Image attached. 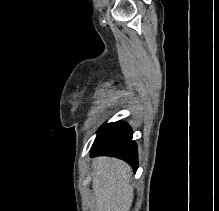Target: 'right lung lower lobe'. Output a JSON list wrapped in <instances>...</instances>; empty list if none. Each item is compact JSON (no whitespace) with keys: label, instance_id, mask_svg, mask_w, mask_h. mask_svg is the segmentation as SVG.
<instances>
[{"label":"right lung lower lobe","instance_id":"right-lung-lower-lobe-1","mask_svg":"<svg viewBox=\"0 0 219 211\" xmlns=\"http://www.w3.org/2000/svg\"><path fill=\"white\" fill-rule=\"evenodd\" d=\"M106 155L128 162L136 171L138 155L132 140V129L125 122L109 123L100 128L92 146L91 156Z\"/></svg>","mask_w":219,"mask_h":211}]
</instances>
